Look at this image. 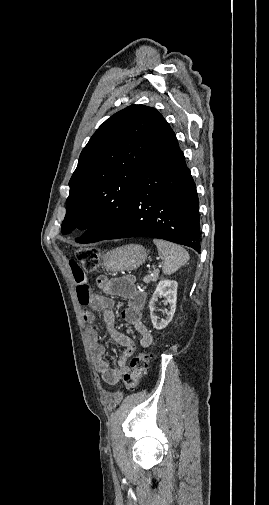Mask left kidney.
<instances>
[{
    "instance_id": "obj_1",
    "label": "left kidney",
    "mask_w": 269,
    "mask_h": 505,
    "mask_svg": "<svg viewBox=\"0 0 269 505\" xmlns=\"http://www.w3.org/2000/svg\"><path fill=\"white\" fill-rule=\"evenodd\" d=\"M177 287L178 283L174 280H161L153 293V296L149 302V308L151 322L153 324V327L157 330L165 328L173 318L176 310ZM161 296L166 297V304H169L170 310L167 312L166 318L158 322L157 316L155 315L154 311L156 310L155 304L158 300V297Z\"/></svg>"
}]
</instances>
